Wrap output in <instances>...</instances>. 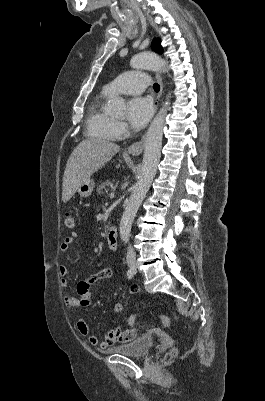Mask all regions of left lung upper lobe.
Here are the masks:
<instances>
[{
  "label": "left lung upper lobe",
  "mask_w": 265,
  "mask_h": 401,
  "mask_svg": "<svg viewBox=\"0 0 265 401\" xmlns=\"http://www.w3.org/2000/svg\"><path fill=\"white\" fill-rule=\"evenodd\" d=\"M151 47H152L153 51H155V52H158L160 54L163 52V48L161 46V41L159 38H156L153 40Z\"/></svg>",
  "instance_id": "5c2ea615"
}]
</instances>
